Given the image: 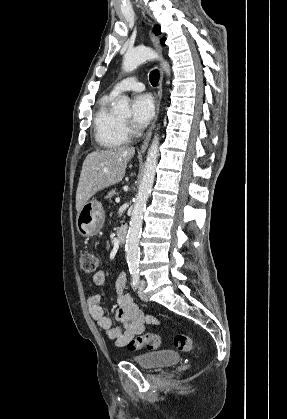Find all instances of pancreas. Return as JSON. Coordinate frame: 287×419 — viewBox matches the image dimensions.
Listing matches in <instances>:
<instances>
[{
  "label": "pancreas",
  "mask_w": 287,
  "mask_h": 419,
  "mask_svg": "<svg viewBox=\"0 0 287 419\" xmlns=\"http://www.w3.org/2000/svg\"><path fill=\"white\" fill-rule=\"evenodd\" d=\"M117 193H116V190H111L109 193H108V195L106 196V199L107 200H109V201H111V198L114 196V195H116Z\"/></svg>",
  "instance_id": "obj_1"
}]
</instances>
